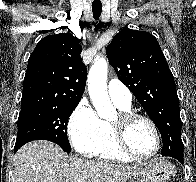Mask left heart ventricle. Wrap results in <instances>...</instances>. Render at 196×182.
<instances>
[{
	"label": "left heart ventricle",
	"instance_id": "left-heart-ventricle-1",
	"mask_svg": "<svg viewBox=\"0 0 196 182\" xmlns=\"http://www.w3.org/2000/svg\"><path fill=\"white\" fill-rule=\"evenodd\" d=\"M126 140L129 147L140 155L152 153L156 146L154 131L144 120H136L130 124L126 132Z\"/></svg>",
	"mask_w": 196,
	"mask_h": 182
}]
</instances>
